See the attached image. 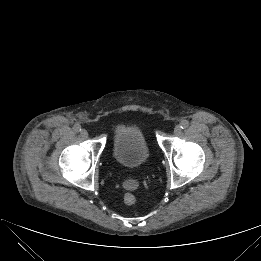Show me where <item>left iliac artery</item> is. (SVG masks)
<instances>
[{
	"instance_id": "obj_1",
	"label": "left iliac artery",
	"mask_w": 261,
	"mask_h": 261,
	"mask_svg": "<svg viewBox=\"0 0 261 261\" xmlns=\"http://www.w3.org/2000/svg\"><path fill=\"white\" fill-rule=\"evenodd\" d=\"M189 126V122L187 120H182L180 123L181 129H186Z\"/></svg>"
}]
</instances>
